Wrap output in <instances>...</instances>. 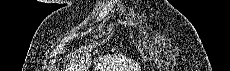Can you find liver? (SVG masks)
<instances>
[{
    "label": "liver",
    "mask_w": 230,
    "mask_h": 71,
    "mask_svg": "<svg viewBox=\"0 0 230 71\" xmlns=\"http://www.w3.org/2000/svg\"><path fill=\"white\" fill-rule=\"evenodd\" d=\"M126 62L125 59L117 58V56L111 57L110 55H105L94 60L95 68L94 71H121L122 62ZM90 58L88 54H84L79 57V59L73 60L71 63L70 71H88L90 67ZM125 69H140L137 64L125 65ZM130 71V70H127ZM132 71V70H131Z\"/></svg>",
    "instance_id": "liver-1"
}]
</instances>
